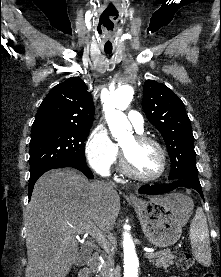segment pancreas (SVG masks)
Masks as SVG:
<instances>
[{
  "label": "pancreas",
  "mask_w": 221,
  "mask_h": 277,
  "mask_svg": "<svg viewBox=\"0 0 221 277\" xmlns=\"http://www.w3.org/2000/svg\"><path fill=\"white\" fill-rule=\"evenodd\" d=\"M105 251L108 253V255L105 256V262L102 264V267L99 271L98 277H117V275L113 272L114 268V245L112 243H109ZM174 254L171 252V250L166 249L163 250L160 255H156L154 257L150 258V262L154 264L157 268H168L171 265H173V259Z\"/></svg>",
  "instance_id": "1"
}]
</instances>
